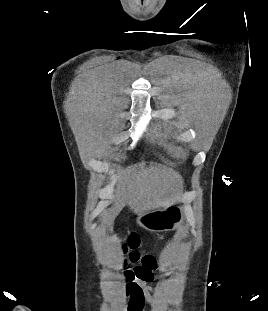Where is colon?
Masks as SVG:
<instances>
[{
  "instance_id": "5ec220e1",
  "label": "colon",
  "mask_w": 268,
  "mask_h": 311,
  "mask_svg": "<svg viewBox=\"0 0 268 311\" xmlns=\"http://www.w3.org/2000/svg\"><path fill=\"white\" fill-rule=\"evenodd\" d=\"M139 246V238L136 234H130L123 250L126 255L125 263L134 265L125 271L128 285L132 284L135 280L151 281L154 277L156 269V258L150 254H141L137 248Z\"/></svg>"
}]
</instances>
